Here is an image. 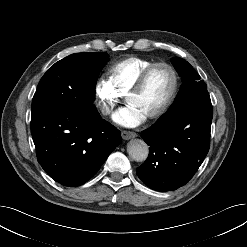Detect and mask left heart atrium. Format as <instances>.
Masks as SVG:
<instances>
[{"instance_id": "1", "label": "left heart atrium", "mask_w": 247, "mask_h": 247, "mask_svg": "<svg viewBox=\"0 0 247 247\" xmlns=\"http://www.w3.org/2000/svg\"><path fill=\"white\" fill-rule=\"evenodd\" d=\"M146 118V115L134 105H127L113 116V120L117 124L128 128L139 126Z\"/></svg>"}]
</instances>
